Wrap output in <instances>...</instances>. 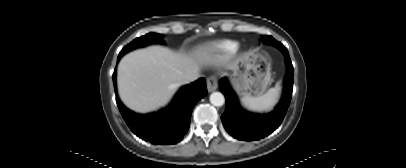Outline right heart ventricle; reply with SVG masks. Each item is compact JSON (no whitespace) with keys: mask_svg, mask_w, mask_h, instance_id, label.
Returning <instances> with one entry per match:
<instances>
[{"mask_svg":"<svg viewBox=\"0 0 406 168\" xmlns=\"http://www.w3.org/2000/svg\"><path fill=\"white\" fill-rule=\"evenodd\" d=\"M238 48V42L232 40H224L208 45L205 50L215 55L231 56L237 52Z\"/></svg>","mask_w":406,"mask_h":168,"instance_id":"obj_1","label":"right heart ventricle"}]
</instances>
